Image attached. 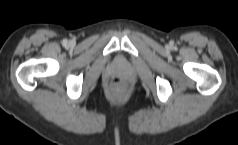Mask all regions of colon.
<instances>
[{
    "instance_id": "colon-1",
    "label": "colon",
    "mask_w": 238,
    "mask_h": 145,
    "mask_svg": "<svg viewBox=\"0 0 238 145\" xmlns=\"http://www.w3.org/2000/svg\"><path fill=\"white\" fill-rule=\"evenodd\" d=\"M111 85H112V90L116 95H122L126 93L129 89L128 84L123 82L119 78L113 79Z\"/></svg>"
}]
</instances>
